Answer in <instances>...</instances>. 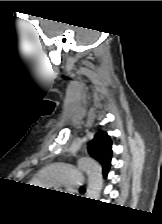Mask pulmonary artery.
Instances as JSON below:
<instances>
[{
    "label": "pulmonary artery",
    "mask_w": 162,
    "mask_h": 224,
    "mask_svg": "<svg viewBox=\"0 0 162 224\" xmlns=\"http://www.w3.org/2000/svg\"><path fill=\"white\" fill-rule=\"evenodd\" d=\"M47 186L80 188L84 179L82 173L72 165L64 164L44 169L38 177Z\"/></svg>",
    "instance_id": "1"
}]
</instances>
